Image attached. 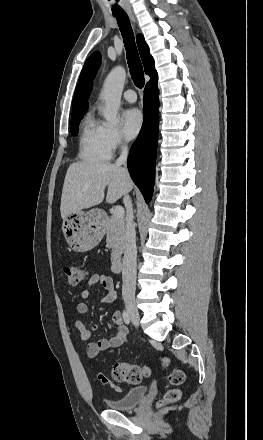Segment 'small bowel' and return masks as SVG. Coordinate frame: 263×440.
Wrapping results in <instances>:
<instances>
[{
    "label": "small bowel",
    "mask_w": 263,
    "mask_h": 440,
    "mask_svg": "<svg viewBox=\"0 0 263 440\" xmlns=\"http://www.w3.org/2000/svg\"><path fill=\"white\" fill-rule=\"evenodd\" d=\"M95 285H100L103 293L100 297L102 303H112L116 300L117 294L114 288L113 278L107 274H92L87 281V287L81 292V301L76 304V311L78 314H86L89 310L88 304L84 301L89 297L92 288ZM123 314L120 311H114L111 316V326H116V331L112 338H100L96 341H90L94 332L98 330L97 326L87 327L83 321L76 322V328L82 341H89L86 346L87 356L90 358L96 357L100 352L110 348L121 346L127 337V328L123 324Z\"/></svg>",
    "instance_id": "1"
}]
</instances>
